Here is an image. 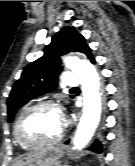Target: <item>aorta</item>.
<instances>
[{
    "label": "aorta",
    "instance_id": "762f6f07",
    "mask_svg": "<svg viewBox=\"0 0 135 166\" xmlns=\"http://www.w3.org/2000/svg\"><path fill=\"white\" fill-rule=\"evenodd\" d=\"M67 68L71 69L80 80L83 92V115L73 140L74 149L81 150L92 138L101 115V94L99 76L95 67L85 59L67 57Z\"/></svg>",
    "mask_w": 135,
    "mask_h": 166
}]
</instances>
